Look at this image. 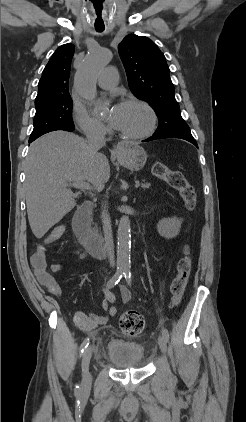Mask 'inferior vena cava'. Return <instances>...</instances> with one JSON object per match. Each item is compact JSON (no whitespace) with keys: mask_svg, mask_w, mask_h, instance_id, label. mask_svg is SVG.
Segmentation results:
<instances>
[{"mask_svg":"<svg viewBox=\"0 0 246 422\" xmlns=\"http://www.w3.org/2000/svg\"><path fill=\"white\" fill-rule=\"evenodd\" d=\"M88 145L91 151L95 154L98 150L105 145V136L101 129L92 128L87 132ZM98 190L103 188V184L97 186ZM103 231L105 236V248L108 252V258L111 266L115 265L114 262V242L112 236L111 220L108 211L106 210V204L101 213Z\"/></svg>","mask_w":246,"mask_h":422,"instance_id":"obj_1","label":"inferior vena cava"}]
</instances>
